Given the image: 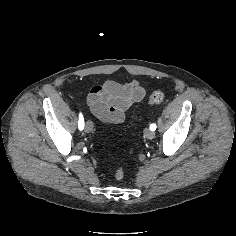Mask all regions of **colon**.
Returning a JSON list of instances; mask_svg holds the SVG:
<instances>
[{"label": "colon", "instance_id": "colon-1", "mask_svg": "<svg viewBox=\"0 0 236 236\" xmlns=\"http://www.w3.org/2000/svg\"><path fill=\"white\" fill-rule=\"evenodd\" d=\"M164 94L161 91H155L154 93L151 94L149 98V104L150 105H156L160 104L164 101ZM115 177L117 180H121L123 178V171L122 169H118L116 171Z\"/></svg>", "mask_w": 236, "mask_h": 236}]
</instances>
